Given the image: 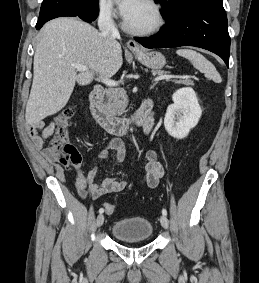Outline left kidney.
Returning <instances> with one entry per match:
<instances>
[{
  "label": "left kidney",
  "instance_id": "left-kidney-1",
  "mask_svg": "<svg viewBox=\"0 0 259 283\" xmlns=\"http://www.w3.org/2000/svg\"><path fill=\"white\" fill-rule=\"evenodd\" d=\"M172 100L174 103L167 108L164 126L170 136L183 139L198 124L202 110L194 90L190 87L177 90Z\"/></svg>",
  "mask_w": 259,
  "mask_h": 283
}]
</instances>
